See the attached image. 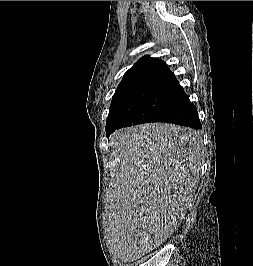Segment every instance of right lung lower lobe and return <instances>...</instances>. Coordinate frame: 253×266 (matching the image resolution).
<instances>
[{
    "mask_svg": "<svg viewBox=\"0 0 253 266\" xmlns=\"http://www.w3.org/2000/svg\"><path fill=\"white\" fill-rule=\"evenodd\" d=\"M156 122H168L182 126H188L195 129H201V123L197 115V109L193 103L190 102L189 97L184 92L181 85H175L171 104L166 114ZM128 126L126 123H112L106 126V133L110 135L118 128Z\"/></svg>",
    "mask_w": 253,
    "mask_h": 266,
    "instance_id": "98d812e1",
    "label": "right lung lower lobe"
}]
</instances>
